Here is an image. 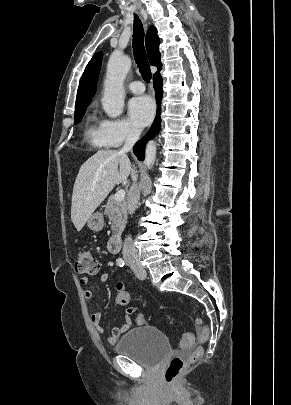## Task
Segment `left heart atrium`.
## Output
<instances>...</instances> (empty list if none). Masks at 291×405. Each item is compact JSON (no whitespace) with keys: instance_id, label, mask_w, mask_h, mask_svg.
<instances>
[{"instance_id":"left-heart-atrium-1","label":"left heart atrium","mask_w":291,"mask_h":405,"mask_svg":"<svg viewBox=\"0 0 291 405\" xmlns=\"http://www.w3.org/2000/svg\"><path fill=\"white\" fill-rule=\"evenodd\" d=\"M154 111V102L148 96L135 97L128 104L129 117L138 127L148 125L154 116Z\"/></svg>"}]
</instances>
